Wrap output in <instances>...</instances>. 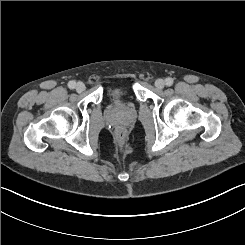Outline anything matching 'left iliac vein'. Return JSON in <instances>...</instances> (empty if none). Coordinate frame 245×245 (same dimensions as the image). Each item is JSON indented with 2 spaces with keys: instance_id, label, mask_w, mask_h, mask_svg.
Wrapping results in <instances>:
<instances>
[{
  "instance_id": "obj_1",
  "label": "left iliac vein",
  "mask_w": 245,
  "mask_h": 245,
  "mask_svg": "<svg viewBox=\"0 0 245 245\" xmlns=\"http://www.w3.org/2000/svg\"><path fill=\"white\" fill-rule=\"evenodd\" d=\"M155 86H156L158 89L164 88V86H165L164 80H163V79H157V80L155 81Z\"/></svg>"
}]
</instances>
